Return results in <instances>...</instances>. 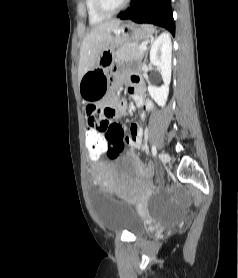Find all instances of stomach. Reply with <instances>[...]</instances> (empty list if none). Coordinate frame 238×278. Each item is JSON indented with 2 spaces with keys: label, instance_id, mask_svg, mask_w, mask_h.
Masks as SVG:
<instances>
[{
  "label": "stomach",
  "instance_id": "1",
  "mask_svg": "<svg viewBox=\"0 0 238 278\" xmlns=\"http://www.w3.org/2000/svg\"><path fill=\"white\" fill-rule=\"evenodd\" d=\"M151 31L144 25L132 22L122 23L113 36L110 46L100 55L97 65L86 72L79 82V92L86 102L100 99L109 85V70L115 62L116 49L131 42L148 38Z\"/></svg>",
  "mask_w": 238,
  "mask_h": 278
}]
</instances>
